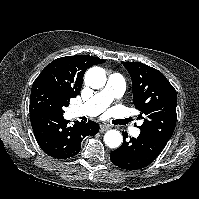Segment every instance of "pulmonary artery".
<instances>
[{"label": "pulmonary artery", "instance_id": "e3ab8cb5", "mask_svg": "<svg viewBox=\"0 0 199 199\" xmlns=\"http://www.w3.org/2000/svg\"><path fill=\"white\" fill-rule=\"evenodd\" d=\"M125 90V81L118 73H112L107 81L106 86L89 100L84 103L75 105L71 109L73 116H97L103 112L110 103L120 97ZM139 130L133 129L132 135L138 136Z\"/></svg>", "mask_w": 199, "mask_h": 199}]
</instances>
